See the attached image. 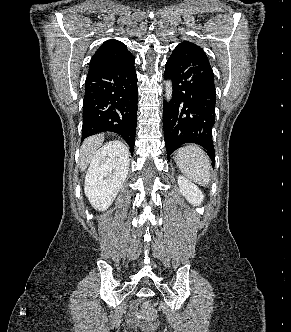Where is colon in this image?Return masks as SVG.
Returning <instances> with one entry per match:
<instances>
[{"label":"colon","mask_w":291,"mask_h":332,"mask_svg":"<svg viewBox=\"0 0 291 332\" xmlns=\"http://www.w3.org/2000/svg\"><path fill=\"white\" fill-rule=\"evenodd\" d=\"M141 311L147 315V316H150V317H153L155 315V309L154 307L152 306V304L148 303V302H145L142 304L141 306ZM152 327L150 329V332H155V328H154V324L153 322L151 323Z\"/></svg>","instance_id":"1"}]
</instances>
